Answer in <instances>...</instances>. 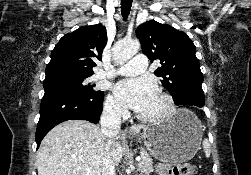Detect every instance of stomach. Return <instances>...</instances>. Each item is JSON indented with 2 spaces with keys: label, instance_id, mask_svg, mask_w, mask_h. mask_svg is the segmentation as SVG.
I'll list each match as a JSON object with an SVG mask.
<instances>
[{
  "label": "stomach",
  "instance_id": "1",
  "mask_svg": "<svg viewBox=\"0 0 251 175\" xmlns=\"http://www.w3.org/2000/svg\"><path fill=\"white\" fill-rule=\"evenodd\" d=\"M204 125L193 111L178 109L175 115L155 125H144L138 135L151 155L159 161H189L202 141Z\"/></svg>",
  "mask_w": 251,
  "mask_h": 175
}]
</instances>
